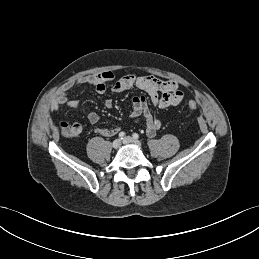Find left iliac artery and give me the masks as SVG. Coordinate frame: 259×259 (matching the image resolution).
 <instances>
[{"instance_id": "1", "label": "left iliac artery", "mask_w": 259, "mask_h": 259, "mask_svg": "<svg viewBox=\"0 0 259 259\" xmlns=\"http://www.w3.org/2000/svg\"><path fill=\"white\" fill-rule=\"evenodd\" d=\"M133 138H134V139H138V138H139V135H138L137 133H134V134H133Z\"/></svg>"}]
</instances>
